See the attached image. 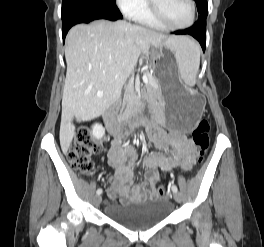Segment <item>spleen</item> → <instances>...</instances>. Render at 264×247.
Returning <instances> with one entry per match:
<instances>
[{"instance_id": "3e777b00", "label": "spleen", "mask_w": 264, "mask_h": 247, "mask_svg": "<svg viewBox=\"0 0 264 247\" xmlns=\"http://www.w3.org/2000/svg\"><path fill=\"white\" fill-rule=\"evenodd\" d=\"M172 51L183 81L194 86L200 66V47L188 37H179L172 45Z\"/></svg>"}]
</instances>
